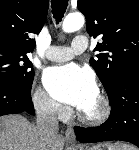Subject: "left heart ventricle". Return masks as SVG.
Returning a JSON list of instances; mask_svg holds the SVG:
<instances>
[{"mask_svg":"<svg viewBox=\"0 0 139 150\" xmlns=\"http://www.w3.org/2000/svg\"><path fill=\"white\" fill-rule=\"evenodd\" d=\"M100 109L98 97L80 111L87 115L96 114Z\"/></svg>","mask_w":139,"mask_h":150,"instance_id":"b2bd125f","label":"left heart ventricle"}]
</instances>
